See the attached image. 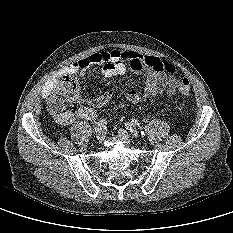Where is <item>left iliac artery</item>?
I'll return each mask as SVG.
<instances>
[{"mask_svg": "<svg viewBox=\"0 0 233 233\" xmlns=\"http://www.w3.org/2000/svg\"><path fill=\"white\" fill-rule=\"evenodd\" d=\"M131 123L133 126H137L140 128V124L138 123V121L136 119H132ZM141 135L142 136L145 135L143 131L141 132Z\"/></svg>", "mask_w": 233, "mask_h": 233, "instance_id": "44dca946", "label": "left iliac artery"}]
</instances>
